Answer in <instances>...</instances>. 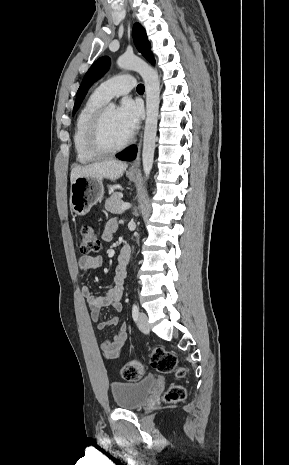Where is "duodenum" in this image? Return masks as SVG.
Returning a JSON list of instances; mask_svg holds the SVG:
<instances>
[{
	"label": "duodenum",
	"instance_id": "1",
	"mask_svg": "<svg viewBox=\"0 0 289 465\" xmlns=\"http://www.w3.org/2000/svg\"><path fill=\"white\" fill-rule=\"evenodd\" d=\"M130 257V248L128 246H123L119 255V261L126 264Z\"/></svg>",
	"mask_w": 289,
	"mask_h": 465
}]
</instances>
